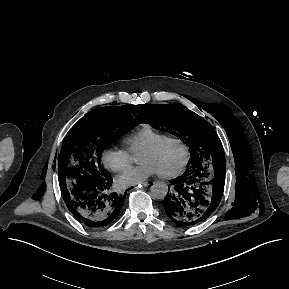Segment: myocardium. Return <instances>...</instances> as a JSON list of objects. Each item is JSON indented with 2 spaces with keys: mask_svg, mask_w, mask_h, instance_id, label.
I'll return each instance as SVG.
<instances>
[{
  "mask_svg": "<svg viewBox=\"0 0 289 289\" xmlns=\"http://www.w3.org/2000/svg\"><path fill=\"white\" fill-rule=\"evenodd\" d=\"M178 143L184 150V159L183 162L181 163V165L174 171L172 172H168V173H159V176L163 177V178H175L179 175H181L185 169L187 168V165L190 161L191 158V152H190V148L188 146V144L181 138L176 137V136H167L163 139H161L160 141H158L157 143L143 149L141 152L143 153H155L158 150H160L164 145L168 144V143Z\"/></svg>",
  "mask_w": 289,
  "mask_h": 289,
  "instance_id": "f54148a6",
  "label": "myocardium"
}]
</instances>
